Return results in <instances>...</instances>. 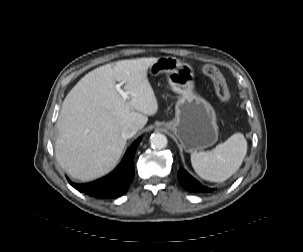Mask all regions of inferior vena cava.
Wrapping results in <instances>:
<instances>
[{
    "label": "inferior vena cava",
    "instance_id": "1",
    "mask_svg": "<svg viewBox=\"0 0 303 252\" xmlns=\"http://www.w3.org/2000/svg\"><path fill=\"white\" fill-rule=\"evenodd\" d=\"M138 130H139V127L137 125L128 124L122 128L121 134H122L123 138L128 139V138H131L132 136H134Z\"/></svg>",
    "mask_w": 303,
    "mask_h": 252
}]
</instances>
